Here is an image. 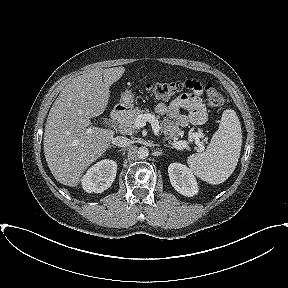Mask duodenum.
Masks as SVG:
<instances>
[{
	"label": "duodenum",
	"mask_w": 288,
	"mask_h": 288,
	"mask_svg": "<svg viewBox=\"0 0 288 288\" xmlns=\"http://www.w3.org/2000/svg\"><path fill=\"white\" fill-rule=\"evenodd\" d=\"M125 113V108L123 107H116L111 112V120L113 122L118 121Z\"/></svg>",
	"instance_id": "410a0bca"
}]
</instances>
